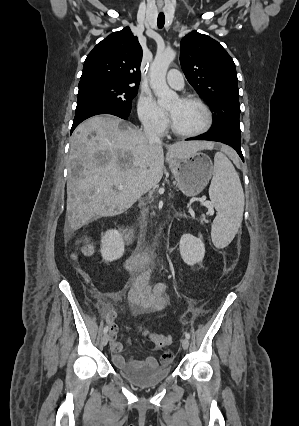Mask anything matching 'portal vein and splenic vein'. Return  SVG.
<instances>
[{
	"instance_id": "1",
	"label": "portal vein and splenic vein",
	"mask_w": 299,
	"mask_h": 426,
	"mask_svg": "<svg viewBox=\"0 0 299 426\" xmlns=\"http://www.w3.org/2000/svg\"><path fill=\"white\" fill-rule=\"evenodd\" d=\"M116 187H117L118 190H122L123 189V186L121 184H117ZM200 202H201V204L203 206H205L207 208H212L213 207L212 203L209 202V201H206L205 198H201Z\"/></svg>"
}]
</instances>
